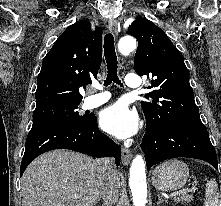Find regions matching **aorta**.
Here are the masks:
<instances>
[{
    "mask_svg": "<svg viewBox=\"0 0 221 206\" xmlns=\"http://www.w3.org/2000/svg\"><path fill=\"white\" fill-rule=\"evenodd\" d=\"M137 47L136 39L124 36L119 40L118 49L123 55H128ZM129 186L135 206H145L147 203V184L145 173V160L141 155L135 156L130 167Z\"/></svg>",
    "mask_w": 221,
    "mask_h": 206,
    "instance_id": "obj_1",
    "label": "aorta"
}]
</instances>
